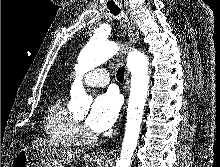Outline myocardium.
Wrapping results in <instances>:
<instances>
[{
	"mask_svg": "<svg viewBox=\"0 0 220 167\" xmlns=\"http://www.w3.org/2000/svg\"><path fill=\"white\" fill-rule=\"evenodd\" d=\"M77 124L79 128L78 137L83 141H93L94 136L92 133L85 128V126L82 124V121L80 119H77Z\"/></svg>",
	"mask_w": 220,
	"mask_h": 167,
	"instance_id": "1",
	"label": "myocardium"
}]
</instances>
